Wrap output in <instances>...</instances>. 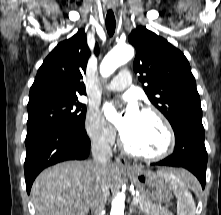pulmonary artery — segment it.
I'll return each mask as SVG.
<instances>
[{
    "instance_id": "e3ab8cb5",
    "label": "pulmonary artery",
    "mask_w": 221,
    "mask_h": 215,
    "mask_svg": "<svg viewBox=\"0 0 221 215\" xmlns=\"http://www.w3.org/2000/svg\"><path fill=\"white\" fill-rule=\"evenodd\" d=\"M132 82L131 73L129 70H121L107 85L109 90L121 91L126 89Z\"/></svg>"
}]
</instances>
